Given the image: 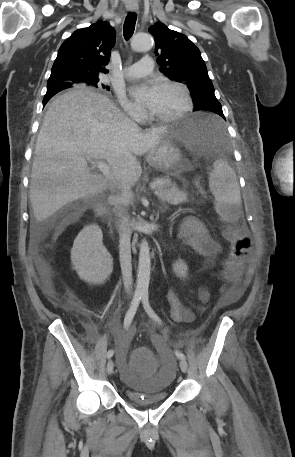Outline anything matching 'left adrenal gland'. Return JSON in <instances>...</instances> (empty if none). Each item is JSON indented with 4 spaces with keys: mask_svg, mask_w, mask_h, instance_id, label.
I'll return each instance as SVG.
<instances>
[{
    "mask_svg": "<svg viewBox=\"0 0 295 457\" xmlns=\"http://www.w3.org/2000/svg\"><path fill=\"white\" fill-rule=\"evenodd\" d=\"M168 208L167 206H164V208L162 209L163 211H166Z\"/></svg>",
    "mask_w": 295,
    "mask_h": 457,
    "instance_id": "1",
    "label": "left adrenal gland"
}]
</instances>
